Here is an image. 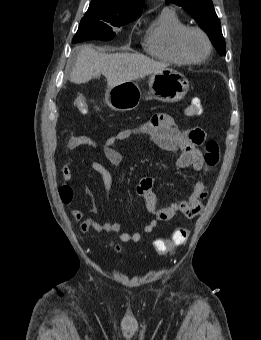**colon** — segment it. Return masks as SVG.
Wrapping results in <instances>:
<instances>
[{
  "label": "colon",
  "mask_w": 261,
  "mask_h": 340,
  "mask_svg": "<svg viewBox=\"0 0 261 340\" xmlns=\"http://www.w3.org/2000/svg\"><path fill=\"white\" fill-rule=\"evenodd\" d=\"M78 110L86 114L88 111V106L85 100L79 99L76 103ZM202 103L199 98H194L191 104L185 109V114L187 116H196L202 112ZM220 159L219 146L215 140H210L206 144V154L205 162L209 167H214L217 165ZM61 200L68 204L73 198V191L68 186H62L59 190ZM189 237V232L183 227H177L173 230L169 237L156 238L153 241L154 250L159 255H165L186 243Z\"/></svg>",
  "instance_id": "5ec220e1"
}]
</instances>
